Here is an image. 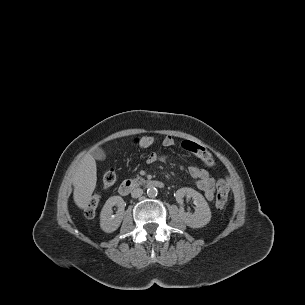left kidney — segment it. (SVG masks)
<instances>
[{
    "instance_id": "obj_1",
    "label": "left kidney",
    "mask_w": 305,
    "mask_h": 305,
    "mask_svg": "<svg viewBox=\"0 0 305 305\" xmlns=\"http://www.w3.org/2000/svg\"><path fill=\"white\" fill-rule=\"evenodd\" d=\"M192 198L195 207V212H185L183 208V198ZM176 201L180 204L179 216L181 220L191 228H201L211 220V211L209 205L202 194L192 188H180L175 193Z\"/></svg>"
}]
</instances>
